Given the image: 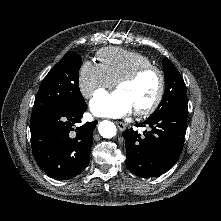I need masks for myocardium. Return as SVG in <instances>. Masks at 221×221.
<instances>
[{
  "instance_id": "f54148a6",
  "label": "myocardium",
  "mask_w": 221,
  "mask_h": 221,
  "mask_svg": "<svg viewBox=\"0 0 221 221\" xmlns=\"http://www.w3.org/2000/svg\"><path fill=\"white\" fill-rule=\"evenodd\" d=\"M147 72H155L159 79V88L157 95L153 102L142 109H137L134 111V113L137 116H146L152 114L161 104L164 94H165V88H166V78L164 75V72L157 66L153 64L148 65H142L135 69H133L131 72L127 73L126 75L122 76L116 81V87L119 88L121 85L126 83H131L136 81L139 77H141L143 74Z\"/></svg>"
}]
</instances>
